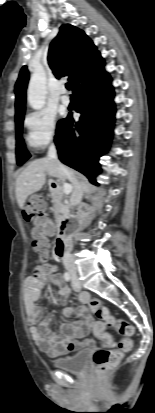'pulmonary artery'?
Here are the masks:
<instances>
[{
  "label": "pulmonary artery",
  "mask_w": 155,
  "mask_h": 413,
  "mask_svg": "<svg viewBox=\"0 0 155 413\" xmlns=\"http://www.w3.org/2000/svg\"><path fill=\"white\" fill-rule=\"evenodd\" d=\"M60 94H61V102H62L64 105H69V104H70V98H69V96L67 95V91H66V88H65V87H61V89H60Z\"/></svg>",
  "instance_id": "pulmonary-artery-1"
}]
</instances>
